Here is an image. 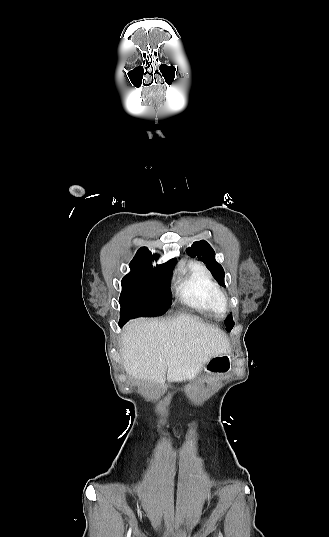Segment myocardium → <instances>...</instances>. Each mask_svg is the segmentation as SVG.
Returning a JSON list of instances; mask_svg holds the SVG:
<instances>
[{
	"label": "myocardium",
	"instance_id": "1",
	"mask_svg": "<svg viewBox=\"0 0 329 537\" xmlns=\"http://www.w3.org/2000/svg\"><path fill=\"white\" fill-rule=\"evenodd\" d=\"M228 300H229V299H228V296H227L226 294H223L222 302H223L224 307L227 306V304H228Z\"/></svg>",
	"mask_w": 329,
	"mask_h": 537
}]
</instances>
